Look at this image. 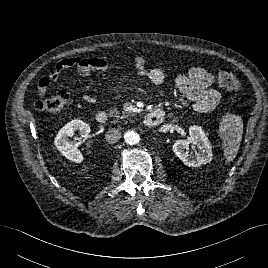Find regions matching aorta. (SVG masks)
Here are the masks:
<instances>
[{
  "label": "aorta",
  "instance_id": "1",
  "mask_svg": "<svg viewBox=\"0 0 268 268\" xmlns=\"http://www.w3.org/2000/svg\"><path fill=\"white\" fill-rule=\"evenodd\" d=\"M124 140L129 145H135L140 141V136L134 131H127L124 134Z\"/></svg>",
  "mask_w": 268,
  "mask_h": 268
}]
</instances>
